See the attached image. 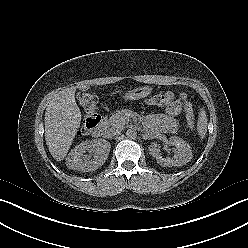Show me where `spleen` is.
Here are the masks:
<instances>
[{
  "mask_svg": "<svg viewBox=\"0 0 248 248\" xmlns=\"http://www.w3.org/2000/svg\"><path fill=\"white\" fill-rule=\"evenodd\" d=\"M208 119L206 116V112L205 110L202 108L200 109L199 112V117H198V121H197V131L199 136L203 139L206 136V132H207V123Z\"/></svg>",
  "mask_w": 248,
  "mask_h": 248,
  "instance_id": "obj_1",
  "label": "spleen"
}]
</instances>
